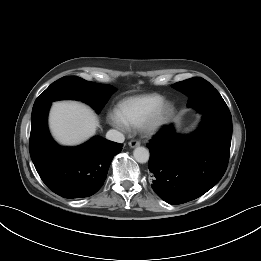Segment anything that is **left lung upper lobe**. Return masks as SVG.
<instances>
[{"instance_id": "left-lung-upper-lobe-1", "label": "left lung upper lobe", "mask_w": 261, "mask_h": 261, "mask_svg": "<svg viewBox=\"0 0 261 261\" xmlns=\"http://www.w3.org/2000/svg\"><path fill=\"white\" fill-rule=\"evenodd\" d=\"M172 87L183 94L188 96V107H192L197 111L203 110L204 102L201 101L204 97L202 92L203 88H211L212 92L215 94L216 98L215 101L212 103L211 107L215 109H228L226 103L224 102L221 95L218 91L206 80L202 78H191L181 82H177Z\"/></svg>"}]
</instances>
